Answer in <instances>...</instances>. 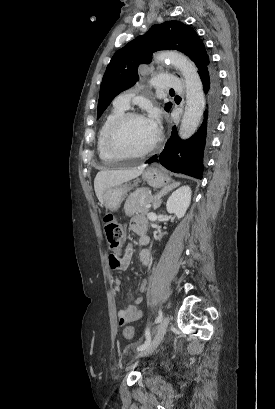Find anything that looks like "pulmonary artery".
<instances>
[{"instance_id":"obj_1","label":"pulmonary artery","mask_w":275,"mask_h":409,"mask_svg":"<svg viewBox=\"0 0 275 409\" xmlns=\"http://www.w3.org/2000/svg\"><path fill=\"white\" fill-rule=\"evenodd\" d=\"M175 78L176 75L173 73H161L160 75L153 76L152 80L148 82V85L131 86L130 92L150 94L152 92V88H180L181 80ZM130 97V93L118 95L114 100V106L122 109H128Z\"/></svg>"}]
</instances>
